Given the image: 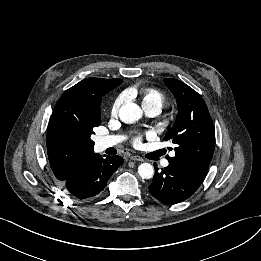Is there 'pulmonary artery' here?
I'll use <instances>...</instances> for the list:
<instances>
[{
  "instance_id": "obj_1",
  "label": "pulmonary artery",
  "mask_w": 261,
  "mask_h": 261,
  "mask_svg": "<svg viewBox=\"0 0 261 261\" xmlns=\"http://www.w3.org/2000/svg\"><path fill=\"white\" fill-rule=\"evenodd\" d=\"M145 111L149 117H156L160 113V109H158V108H148ZM122 140H123V136H120V135L108 136V137L101 138L99 140V145L102 148H107L110 146L117 145ZM173 155H174V153H173ZM168 165H169V162L167 160L162 161V166L166 167Z\"/></svg>"
}]
</instances>
